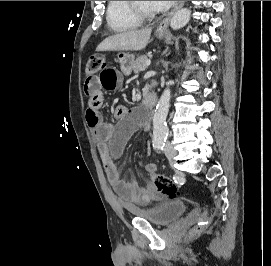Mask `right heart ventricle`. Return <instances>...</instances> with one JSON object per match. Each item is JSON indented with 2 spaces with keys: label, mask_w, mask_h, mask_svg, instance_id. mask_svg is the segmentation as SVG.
I'll list each match as a JSON object with an SVG mask.
<instances>
[{
  "label": "right heart ventricle",
  "mask_w": 271,
  "mask_h": 266,
  "mask_svg": "<svg viewBox=\"0 0 271 266\" xmlns=\"http://www.w3.org/2000/svg\"><path fill=\"white\" fill-rule=\"evenodd\" d=\"M106 19L115 32H128L141 25V21L129 10L128 1H108Z\"/></svg>",
  "instance_id": "e07e8e85"
}]
</instances>
